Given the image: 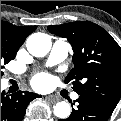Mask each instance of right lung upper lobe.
I'll use <instances>...</instances> for the list:
<instances>
[{
    "label": "right lung upper lobe",
    "mask_w": 121,
    "mask_h": 121,
    "mask_svg": "<svg viewBox=\"0 0 121 121\" xmlns=\"http://www.w3.org/2000/svg\"><path fill=\"white\" fill-rule=\"evenodd\" d=\"M36 29V26H15L6 21H1V33L8 34L12 39L21 44L24 43L26 37Z\"/></svg>",
    "instance_id": "right-lung-upper-lobe-1"
}]
</instances>
